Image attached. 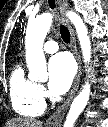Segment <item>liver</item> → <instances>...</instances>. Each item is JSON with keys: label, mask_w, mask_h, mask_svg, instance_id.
Here are the masks:
<instances>
[{"label": "liver", "mask_w": 108, "mask_h": 127, "mask_svg": "<svg viewBox=\"0 0 108 127\" xmlns=\"http://www.w3.org/2000/svg\"><path fill=\"white\" fill-rule=\"evenodd\" d=\"M5 127H42V122L34 118H12Z\"/></svg>", "instance_id": "1"}]
</instances>
